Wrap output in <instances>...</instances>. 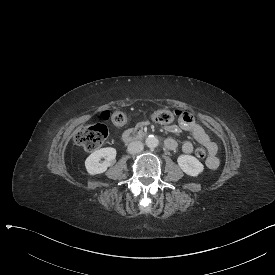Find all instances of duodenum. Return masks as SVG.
I'll return each instance as SVG.
<instances>
[{"label": "duodenum", "instance_id": "410a0bca", "mask_svg": "<svg viewBox=\"0 0 275 275\" xmlns=\"http://www.w3.org/2000/svg\"><path fill=\"white\" fill-rule=\"evenodd\" d=\"M145 135H146V131L144 129L137 128V129L127 130L122 135V141L124 143H131L133 141H136L142 138Z\"/></svg>", "mask_w": 275, "mask_h": 275}]
</instances>
